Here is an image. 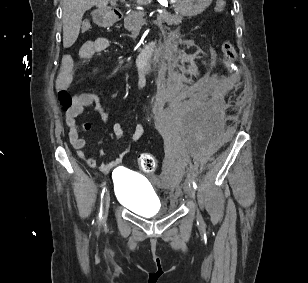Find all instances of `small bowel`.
I'll list each match as a JSON object with an SVG mask.
<instances>
[{"instance_id":"c3829d8e","label":"small bowel","mask_w":308,"mask_h":283,"mask_svg":"<svg viewBox=\"0 0 308 283\" xmlns=\"http://www.w3.org/2000/svg\"><path fill=\"white\" fill-rule=\"evenodd\" d=\"M110 45V42L107 38L100 37L95 40L86 42L80 50L81 56L85 58H91L94 55L104 52ZM75 72L73 62L70 58H65L62 61V65L57 76L56 85L58 90H68L74 82ZM115 96V94L113 95ZM94 106L95 110L99 113L103 121L109 120V112L105 110L100 104L99 97L92 92L81 93L76 95L73 98V105L70 109L66 111V122L70 128L69 140L72 147L76 150V153L79 158L84 160L90 168H96V161L88 157L84 151L85 140L79 137L73 130L75 126V118L80 115L85 107ZM114 134L122 138L125 135L124 129L121 124L116 123L113 126ZM144 134V127L142 124H138L132 134V140H139ZM126 152L122 153L115 160L104 163L100 166V170L103 172H108L115 166L119 165L122 162L123 155Z\"/></svg>"}]
</instances>
